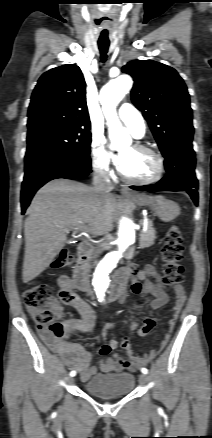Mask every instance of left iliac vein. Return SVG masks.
Masks as SVG:
<instances>
[{"label":"left iliac vein","mask_w":212,"mask_h":438,"mask_svg":"<svg viewBox=\"0 0 212 438\" xmlns=\"http://www.w3.org/2000/svg\"><path fill=\"white\" fill-rule=\"evenodd\" d=\"M139 381H140V383L142 384V385H146L147 384V382H148V376L146 375V374H141L140 376H139Z\"/></svg>","instance_id":"left-iliac-vein-1"}]
</instances>
